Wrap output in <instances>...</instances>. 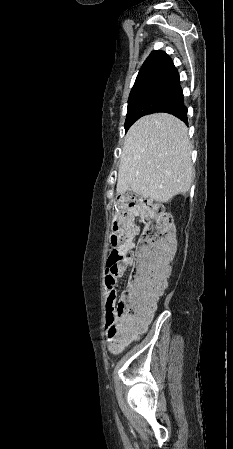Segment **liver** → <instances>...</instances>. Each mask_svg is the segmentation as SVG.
<instances>
[{"label": "liver", "mask_w": 233, "mask_h": 449, "mask_svg": "<svg viewBox=\"0 0 233 449\" xmlns=\"http://www.w3.org/2000/svg\"><path fill=\"white\" fill-rule=\"evenodd\" d=\"M192 145L186 125L173 115L140 118L128 130L120 158L116 191H133L167 203L190 190L194 178Z\"/></svg>", "instance_id": "liver-1"}]
</instances>
